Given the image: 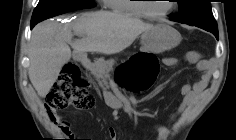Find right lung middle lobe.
<instances>
[{
	"instance_id": "obj_1",
	"label": "right lung middle lobe",
	"mask_w": 236,
	"mask_h": 140,
	"mask_svg": "<svg viewBox=\"0 0 236 140\" xmlns=\"http://www.w3.org/2000/svg\"><path fill=\"white\" fill-rule=\"evenodd\" d=\"M93 0H40L34 9L31 24L67 12L95 7Z\"/></svg>"
}]
</instances>
